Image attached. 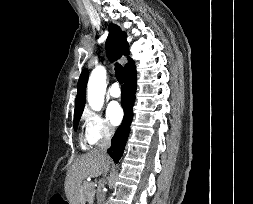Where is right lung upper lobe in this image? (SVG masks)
Masks as SVG:
<instances>
[{
  "label": "right lung upper lobe",
  "mask_w": 253,
  "mask_h": 204,
  "mask_svg": "<svg viewBox=\"0 0 253 204\" xmlns=\"http://www.w3.org/2000/svg\"><path fill=\"white\" fill-rule=\"evenodd\" d=\"M109 35L106 40V53L110 60L118 59L122 55H129V45L126 41V34L123 32L117 25L110 24L109 27ZM134 66V63L130 58H128V65L124 67V74ZM88 70L84 69L79 77L78 81V93L76 96L75 102V113L74 117L82 114L83 108L85 105V92H86V84L88 80Z\"/></svg>",
  "instance_id": "right-lung-upper-lobe-1"
}]
</instances>
